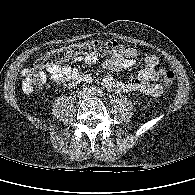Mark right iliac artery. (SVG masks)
I'll return each instance as SVG.
<instances>
[{
  "label": "right iliac artery",
  "instance_id": "1",
  "mask_svg": "<svg viewBox=\"0 0 195 195\" xmlns=\"http://www.w3.org/2000/svg\"><path fill=\"white\" fill-rule=\"evenodd\" d=\"M90 91H91L92 93H95V92L97 91V89H96L95 87H92V88L90 89Z\"/></svg>",
  "mask_w": 195,
  "mask_h": 195
}]
</instances>
